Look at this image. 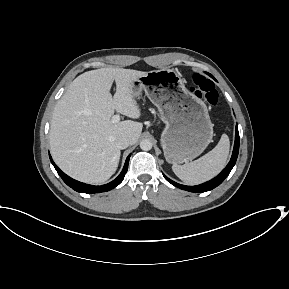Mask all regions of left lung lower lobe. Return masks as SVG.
Here are the masks:
<instances>
[{
	"mask_svg": "<svg viewBox=\"0 0 289 289\" xmlns=\"http://www.w3.org/2000/svg\"><path fill=\"white\" fill-rule=\"evenodd\" d=\"M238 152H239V132H238V126L236 125L235 143H234V149H233L232 157H231L228 165L223 169V171L218 176H216L215 178H213L212 180H210L208 182H205L203 184L196 185V186L181 185V184H178V183L172 181L171 179H169L165 175H164V177L172 185H174L180 189L186 190V191L199 193V192H206V191L212 190L215 187H217L218 185H220L225 180V178L229 175L230 171L232 170L233 166L236 163V160L238 157Z\"/></svg>",
	"mask_w": 289,
	"mask_h": 289,
	"instance_id": "1",
	"label": "left lung lower lobe"
}]
</instances>
